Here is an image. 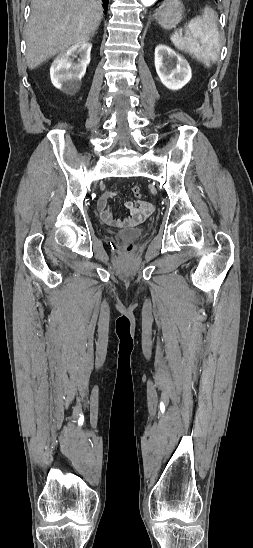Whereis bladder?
I'll list each match as a JSON object with an SVG mask.
<instances>
[{"label": "bladder", "instance_id": "31cf9c89", "mask_svg": "<svg viewBox=\"0 0 253 548\" xmlns=\"http://www.w3.org/2000/svg\"><path fill=\"white\" fill-rule=\"evenodd\" d=\"M117 235L121 239L137 240L144 235V232L139 228H131V229L121 230L120 232H118Z\"/></svg>", "mask_w": 253, "mask_h": 548}]
</instances>
